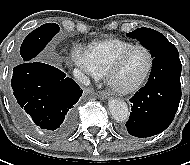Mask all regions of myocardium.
<instances>
[{
	"instance_id": "f54148a6",
	"label": "myocardium",
	"mask_w": 190,
	"mask_h": 165,
	"mask_svg": "<svg viewBox=\"0 0 190 165\" xmlns=\"http://www.w3.org/2000/svg\"><path fill=\"white\" fill-rule=\"evenodd\" d=\"M135 49H143L147 53L148 58H149L147 69H146L145 73L143 74V76L136 83L129 85V86H120L117 83H115L114 76L117 73V71L119 70V68L121 67L124 58L131 51H133ZM153 65H154V56H153L151 50L142 44H134V45L126 48L125 50H123L116 57V59L114 60V62L112 63V65L110 66V68L108 69V71L105 75L106 82L114 91H116L120 94L133 93V92L139 90L143 86V84L146 82V80L148 79V77L153 69Z\"/></svg>"
}]
</instances>
